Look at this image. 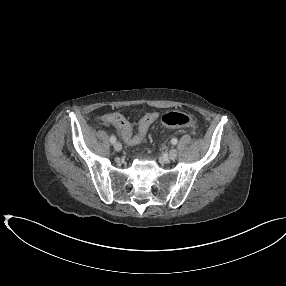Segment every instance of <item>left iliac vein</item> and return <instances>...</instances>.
<instances>
[{
	"label": "left iliac vein",
	"mask_w": 286,
	"mask_h": 286,
	"mask_svg": "<svg viewBox=\"0 0 286 286\" xmlns=\"http://www.w3.org/2000/svg\"><path fill=\"white\" fill-rule=\"evenodd\" d=\"M178 155V152L176 149L172 148L170 151H169V154H168V157L169 159L171 160H174Z\"/></svg>",
	"instance_id": "left-iliac-vein-1"
}]
</instances>
